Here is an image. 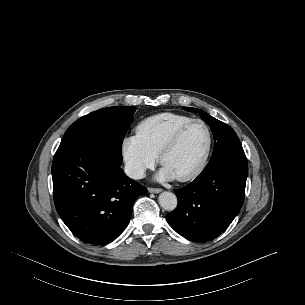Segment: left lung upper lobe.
Segmentation results:
<instances>
[{"label": "left lung upper lobe", "mask_w": 305, "mask_h": 305, "mask_svg": "<svg viewBox=\"0 0 305 305\" xmlns=\"http://www.w3.org/2000/svg\"><path fill=\"white\" fill-rule=\"evenodd\" d=\"M184 110L193 113L199 112L201 118L210 126L214 136V151L209 163L237 151H243L242 145L235 131L227 124L196 108L184 107Z\"/></svg>", "instance_id": "1"}]
</instances>
